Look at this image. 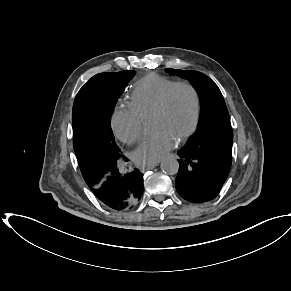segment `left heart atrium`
Masks as SVG:
<instances>
[{"mask_svg":"<svg viewBox=\"0 0 291 291\" xmlns=\"http://www.w3.org/2000/svg\"><path fill=\"white\" fill-rule=\"evenodd\" d=\"M176 138L168 132H160L145 138L134 152V160L140 164L159 162L175 146Z\"/></svg>","mask_w":291,"mask_h":291,"instance_id":"39dd6f15","label":"left heart atrium"}]
</instances>
